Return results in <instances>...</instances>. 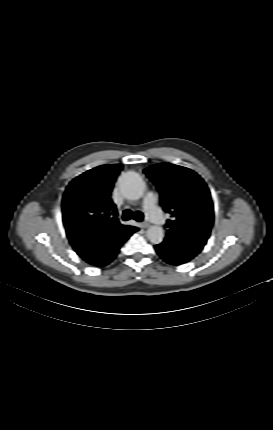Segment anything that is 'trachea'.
I'll return each instance as SVG.
<instances>
[{"instance_id": "1", "label": "trachea", "mask_w": 273, "mask_h": 430, "mask_svg": "<svg viewBox=\"0 0 273 430\" xmlns=\"http://www.w3.org/2000/svg\"><path fill=\"white\" fill-rule=\"evenodd\" d=\"M143 218H144V215L142 214V212H140V211L133 212L130 209H126L122 215V219L124 221H128L130 219H133L135 221L141 222L143 220Z\"/></svg>"}]
</instances>
